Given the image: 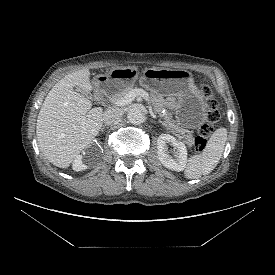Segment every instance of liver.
<instances>
[{
  "instance_id": "6515ba94",
  "label": "liver",
  "mask_w": 275,
  "mask_h": 275,
  "mask_svg": "<svg viewBox=\"0 0 275 275\" xmlns=\"http://www.w3.org/2000/svg\"><path fill=\"white\" fill-rule=\"evenodd\" d=\"M89 69L72 72L49 91L36 124L38 146L49 162L68 168L92 140L103 123V111L74 90L92 91Z\"/></svg>"
}]
</instances>
